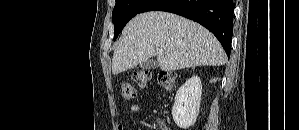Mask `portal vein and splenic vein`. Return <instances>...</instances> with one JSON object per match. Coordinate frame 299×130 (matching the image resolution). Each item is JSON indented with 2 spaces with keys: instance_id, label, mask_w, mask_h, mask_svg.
I'll return each mask as SVG.
<instances>
[{
  "instance_id": "18ae733b",
  "label": "portal vein and splenic vein",
  "mask_w": 299,
  "mask_h": 130,
  "mask_svg": "<svg viewBox=\"0 0 299 130\" xmlns=\"http://www.w3.org/2000/svg\"><path fill=\"white\" fill-rule=\"evenodd\" d=\"M157 53H158V54H163L164 51H163L162 49H160V50L157 51Z\"/></svg>"
}]
</instances>
